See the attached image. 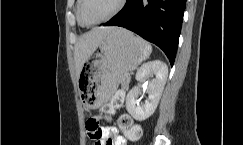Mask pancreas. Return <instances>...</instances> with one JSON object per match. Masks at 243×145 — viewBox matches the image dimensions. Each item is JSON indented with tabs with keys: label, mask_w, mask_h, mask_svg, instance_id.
I'll list each match as a JSON object with an SVG mask.
<instances>
[{
	"label": "pancreas",
	"mask_w": 243,
	"mask_h": 145,
	"mask_svg": "<svg viewBox=\"0 0 243 145\" xmlns=\"http://www.w3.org/2000/svg\"><path fill=\"white\" fill-rule=\"evenodd\" d=\"M130 77L128 74H123L122 77L120 78V83L122 87H126L129 84Z\"/></svg>",
	"instance_id": "pancreas-1"
}]
</instances>
